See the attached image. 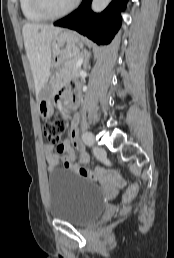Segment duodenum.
<instances>
[{"label":"duodenum","instance_id":"1","mask_svg":"<svg viewBox=\"0 0 174 258\" xmlns=\"http://www.w3.org/2000/svg\"><path fill=\"white\" fill-rule=\"evenodd\" d=\"M78 102H79L78 97H72L71 101H70V104H71L72 107H75V106L78 105Z\"/></svg>","mask_w":174,"mask_h":258}]
</instances>
